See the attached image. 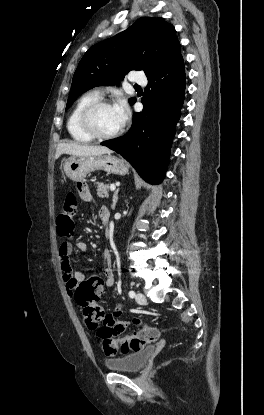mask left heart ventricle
Listing matches in <instances>:
<instances>
[{"instance_id": "b2bd125f", "label": "left heart ventricle", "mask_w": 264, "mask_h": 415, "mask_svg": "<svg viewBox=\"0 0 264 415\" xmlns=\"http://www.w3.org/2000/svg\"><path fill=\"white\" fill-rule=\"evenodd\" d=\"M93 122L96 129L101 134H111L117 131L122 124L114 106H104L100 108L94 114Z\"/></svg>"}]
</instances>
